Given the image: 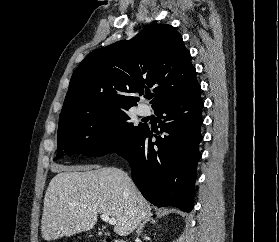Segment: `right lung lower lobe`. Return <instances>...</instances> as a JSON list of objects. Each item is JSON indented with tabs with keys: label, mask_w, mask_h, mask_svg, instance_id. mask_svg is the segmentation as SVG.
I'll use <instances>...</instances> for the list:
<instances>
[{
	"label": "right lung lower lobe",
	"mask_w": 279,
	"mask_h": 242,
	"mask_svg": "<svg viewBox=\"0 0 279 242\" xmlns=\"http://www.w3.org/2000/svg\"><path fill=\"white\" fill-rule=\"evenodd\" d=\"M198 84L189 93L154 109L161 118L162 136L151 142L152 131H143L120 156L131 166L132 179L142 195L157 207L174 206L190 212L194 206L199 145L203 139V101Z\"/></svg>",
	"instance_id": "right-lung-lower-lobe-1"
}]
</instances>
